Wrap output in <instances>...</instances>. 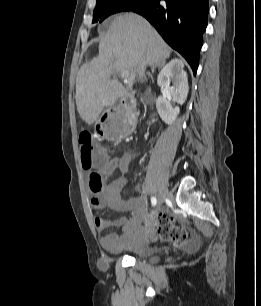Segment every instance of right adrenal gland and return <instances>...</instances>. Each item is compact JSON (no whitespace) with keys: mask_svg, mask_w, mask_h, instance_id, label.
<instances>
[{"mask_svg":"<svg viewBox=\"0 0 261 306\" xmlns=\"http://www.w3.org/2000/svg\"><path fill=\"white\" fill-rule=\"evenodd\" d=\"M161 67H162V64L152 65V66H151V72H152V74H154V71H155L156 68H161ZM148 75H149V77L153 78V76H152L150 73H148Z\"/></svg>","mask_w":261,"mask_h":306,"instance_id":"right-adrenal-gland-1","label":"right adrenal gland"}]
</instances>
